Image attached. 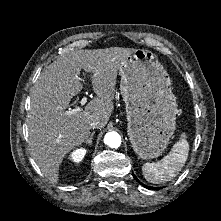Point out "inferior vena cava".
Listing matches in <instances>:
<instances>
[{
	"mask_svg": "<svg viewBox=\"0 0 221 221\" xmlns=\"http://www.w3.org/2000/svg\"><path fill=\"white\" fill-rule=\"evenodd\" d=\"M100 126V122L98 120H94L90 123V128L91 129H96V128H99Z\"/></svg>",
	"mask_w": 221,
	"mask_h": 221,
	"instance_id": "1",
	"label": "inferior vena cava"
}]
</instances>
